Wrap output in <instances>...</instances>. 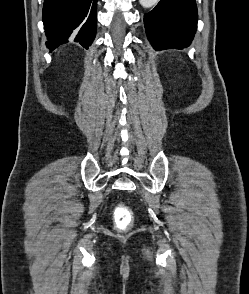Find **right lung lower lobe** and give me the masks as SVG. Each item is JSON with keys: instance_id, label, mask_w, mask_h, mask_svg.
Wrapping results in <instances>:
<instances>
[{"instance_id": "1", "label": "right lung lower lobe", "mask_w": 249, "mask_h": 294, "mask_svg": "<svg viewBox=\"0 0 249 294\" xmlns=\"http://www.w3.org/2000/svg\"><path fill=\"white\" fill-rule=\"evenodd\" d=\"M97 0H45L43 23L51 50L67 42L88 49L96 34Z\"/></svg>"}]
</instances>
